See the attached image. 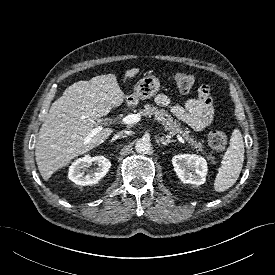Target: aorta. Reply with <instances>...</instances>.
Instances as JSON below:
<instances>
[{
    "label": "aorta",
    "mask_w": 275,
    "mask_h": 275,
    "mask_svg": "<svg viewBox=\"0 0 275 275\" xmlns=\"http://www.w3.org/2000/svg\"><path fill=\"white\" fill-rule=\"evenodd\" d=\"M151 146L150 139L143 137L136 142L135 150L137 153L148 154L151 151Z\"/></svg>",
    "instance_id": "762f6f07"
}]
</instances>
